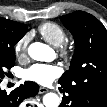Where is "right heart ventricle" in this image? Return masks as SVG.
Instances as JSON below:
<instances>
[{
    "mask_svg": "<svg viewBox=\"0 0 107 107\" xmlns=\"http://www.w3.org/2000/svg\"><path fill=\"white\" fill-rule=\"evenodd\" d=\"M38 31L47 42L55 47L61 46L67 38L65 29L54 22H45L41 24Z\"/></svg>",
    "mask_w": 107,
    "mask_h": 107,
    "instance_id": "e07e8e85",
    "label": "right heart ventricle"
}]
</instances>
